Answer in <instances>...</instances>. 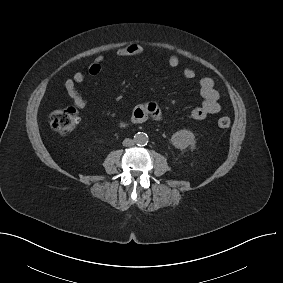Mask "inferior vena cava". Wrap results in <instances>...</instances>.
<instances>
[{"label":"inferior vena cava","instance_id":"602c4592","mask_svg":"<svg viewBox=\"0 0 283 283\" xmlns=\"http://www.w3.org/2000/svg\"><path fill=\"white\" fill-rule=\"evenodd\" d=\"M134 143H135L134 140L129 139V138L124 139V141L122 142L123 146L125 147H130L134 145Z\"/></svg>","mask_w":283,"mask_h":283}]
</instances>
